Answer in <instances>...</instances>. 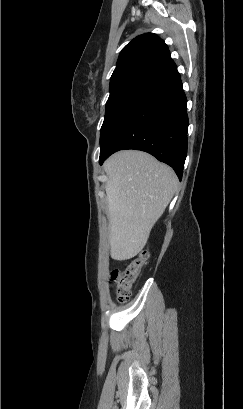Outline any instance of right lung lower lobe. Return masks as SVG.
<instances>
[{
    "label": "right lung lower lobe",
    "instance_id": "1",
    "mask_svg": "<svg viewBox=\"0 0 243 409\" xmlns=\"http://www.w3.org/2000/svg\"><path fill=\"white\" fill-rule=\"evenodd\" d=\"M187 129V99L175 69L121 123L100 152L99 162L122 149L142 150L170 165L181 180Z\"/></svg>",
    "mask_w": 243,
    "mask_h": 409
}]
</instances>
